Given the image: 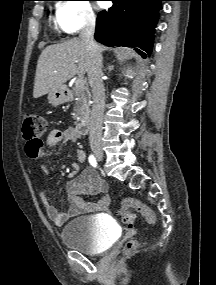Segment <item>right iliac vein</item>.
I'll return each mask as SVG.
<instances>
[{
  "mask_svg": "<svg viewBox=\"0 0 216 285\" xmlns=\"http://www.w3.org/2000/svg\"><path fill=\"white\" fill-rule=\"evenodd\" d=\"M93 152L99 161H103L104 154L100 147H93Z\"/></svg>",
  "mask_w": 216,
  "mask_h": 285,
  "instance_id": "1",
  "label": "right iliac vein"
}]
</instances>
